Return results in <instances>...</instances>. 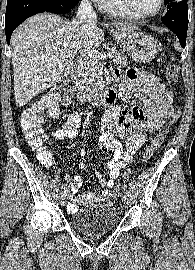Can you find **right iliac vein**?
I'll use <instances>...</instances> for the list:
<instances>
[{"instance_id":"1","label":"right iliac vein","mask_w":195,"mask_h":270,"mask_svg":"<svg viewBox=\"0 0 195 270\" xmlns=\"http://www.w3.org/2000/svg\"><path fill=\"white\" fill-rule=\"evenodd\" d=\"M66 200H67V194L66 193H63L61 195V203L64 204L66 202Z\"/></svg>"}]
</instances>
